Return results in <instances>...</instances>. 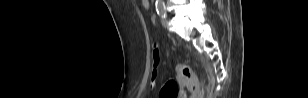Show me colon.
Instances as JSON below:
<instances>
[{
    "instance_id": "1",
    "label": "colon",
    "mask_w": 308,
    "mask_h": 98,
    "mask_svg": "<svg viewBox=\"0 0 308 98\" xmlns=\"http://www.w3.org/2000/svg\"><path fill=\"white\" fill-rule=\"evenodd\" d=\"M159 64V53L158 50L153 51V72H152V84H154L157 77V67ZM176 72L181 77L185 83L187 89L190 92L191 98H202L203 91L200 85L199 80L192 71L189 65L185 63H179L176 66ZM178 95V86L177 83L173 80H167L159 93L160 98H177Z\"/></svg>"
}]
</instances>
